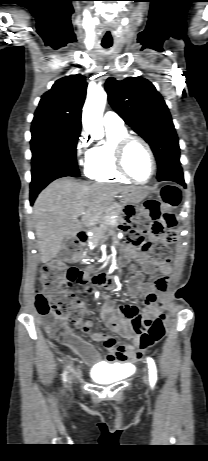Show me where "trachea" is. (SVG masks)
<instances>
[{"mask_svg":"<svg viewBox=\"0 0 208 461\" xmlns=\"http://www.w3.org/2000/svg\"><path fill=\"white\" fill-rule=\"evenodd\" d=\"M102 46H103L104 48H109V47H111V44H102Z\"/></svg>","mask_w":208,"mask_h":461,"instance_id":"3493384b","label":"trachea"}]
</instances>
